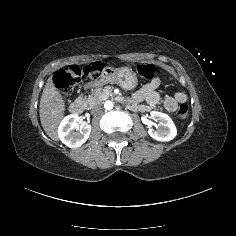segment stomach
I'll use <instances>...</instances> for the list:
<instances>
[{"mask_svg": "<svg viewBox=\"0 0 236 236\" xmlns=\"http://www.w3.org/2000/svg\"><path fill=\"white\" fill-rule=\"evenodd\" d=\"M105 83L118 84L124 90H134L138 85L137 74L129 67L108 68Z\"/></svg>", "mask_w": 236, "mask_h": 236, "instance_id": "1", "label": "stomach"}]
</instances>
